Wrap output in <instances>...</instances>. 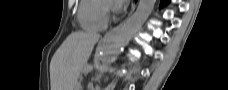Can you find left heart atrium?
I'll return each instance as SVG.
<instances>
[{"label": "left heart atrium", "instance_id": "obj_1", "mask_svg": "<svg viewBox=\"0 0 228 90\" xmlns=\"http://www.w3.org/2000/svg\"><path fill=\"white\" fill-rule=\"evenodd\" d=\"M114 7H115V8H118V5L115 4Z\"/></svg>", "mask_w": 228, "mask_h": 90}]
</instances>
